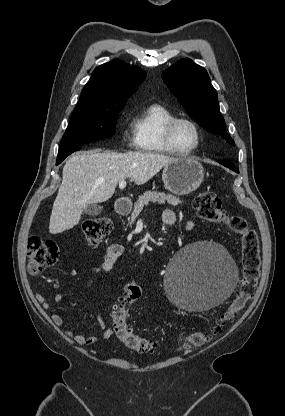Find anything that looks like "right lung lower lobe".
<instances>
[{"mask_svg": "<svg viewBox=\"0 0 285 416\" xmlns=\"http://www.w3.org/2000/svg\"><path fill=\"white\" fill-rule=\"evenodd\" d=\"M80 146L79 145H71V146H66V147H61L58 151V156H57V160H56V165L60 164L68 155H70L71 153L80 150Z\"/></svg>", "mask_w": 285, "mask_h": 416, "instance_id": "right-lung-lower-lobe-1", "label": "right lung lower lobe"}]
</instances>
